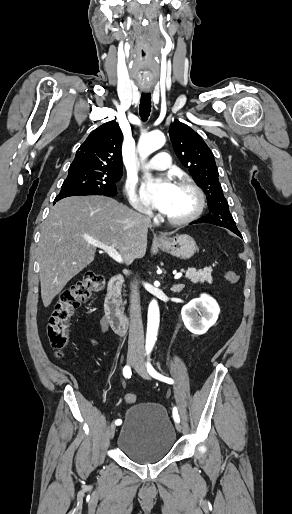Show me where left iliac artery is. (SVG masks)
Segmentation results:
<instances>
[{"label": "left iliac artery", "mask_w": 292, "mask_h": 514, "mask_svg": "<svg viewBox=\"0 0 292 514\" xmlns=\"http://www.w3.org/2000/svg\"><path fill=\"white\" fill-rule=\"evenodd\" d=\"M149 360H150V359H148V362H147V371H148V373H149L152 377H154V378H156V379H158V380H160V381H163V382L169 383V384H173V383H174V380H173V379H171V378H169V377H165V376H163V375L159 374V373H158V372L153 368V366L151 365V363H150V361H149ZM172 413H173L174 421H175V422H180V418H179L178 411H177V408H176V407H174V408H173V412H172Z\"/></svg>", "instance_id": "obj_1"}]
</instances>
